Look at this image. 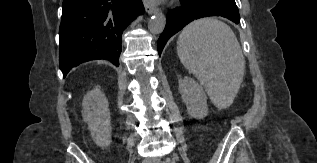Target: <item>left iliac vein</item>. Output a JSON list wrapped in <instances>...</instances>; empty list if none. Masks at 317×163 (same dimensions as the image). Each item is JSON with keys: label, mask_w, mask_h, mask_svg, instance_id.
Segmentation results:
<instances>
[{"label": "left iliac vein", "mask_w": 317, "mask_h": 163, "mask_svg": "<svg viewBox=\"0 0 317 163\" xmlns=\"http://www.w3.org/2000/svg\"><path fill=\"white\" fill-rule=\"evenodd\" d=\"M158 163H160V162H158ZM168 163H172L171 161H168Z\"/></svg>", "instance_id": "1"}]
</instances>
